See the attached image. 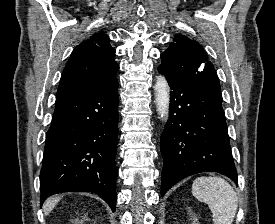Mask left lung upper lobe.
Segmentation results:
<instances>
[{
    "mask_svg": "<svg viewBox=\"0 0 275 224\" xmlns=\"http://www.w3.org/2000/svg\"><path fill=\"white\" fill-rule=\"evenodd\" d=\"M160 73L168 80H191L221 93L219 80L213 65L207 61L203 47L188 37L176 34L169 48L161 54Z\"/></svg>",
    "mask_w": 275,
    "mask_h": 224,
    "instance_id": "5c2ea615",
    "label": "left lung upper lobe"
}]
</instances>
